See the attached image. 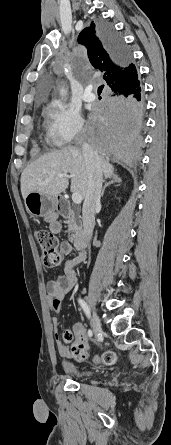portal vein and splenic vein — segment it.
<instances>
[{
    "label": "portal vein and splenic vein",
    "mask_w": 171,
    "mask_h": 445,
    "mask_svg": "<svg viewBox=\"0 0 171 445\" xmlns=\"http://www.w3.org/2000/svg\"><path fill=\"white\" fill-rule=\"evenodd\" d=\"M57 178H70L68 174H59ZM72 200L75 204H80L82 202V196L78 192H73Z\"/></svg>",
    "instance_id": "1"
}]
</instances>
